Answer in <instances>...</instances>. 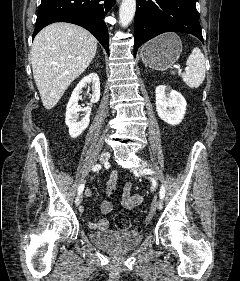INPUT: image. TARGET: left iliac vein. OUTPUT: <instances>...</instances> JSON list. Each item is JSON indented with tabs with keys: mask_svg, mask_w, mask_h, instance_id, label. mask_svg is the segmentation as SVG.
I'll use <instances>...</instances> for the list:
<instances>
[{
	"mask_svg": "<svg viewBox=\"0 0 240 281\" xmlns=\"http://www.w3.org/2000/svg\"><path fill=\"white\" fill-rule=\"evenodd\" d=\"M147 166L145 161H140L138 168L134 170V172L137 174L139 170H142L143 168H145ZM156 207L158 210H161L163 208V201L161 199H159L156 202Z\"/></svg>",
	"mask_w": 240,
	"mask_h": 281,
	"instance_id": "4c4485c4",
	"label": "left iliac vein"
}]
</instances>
